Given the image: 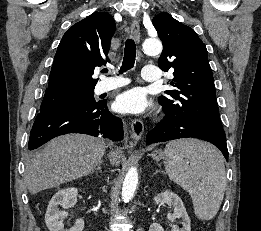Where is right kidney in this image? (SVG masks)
Wrapping results in <instances>:
<instances>
[{
	"mask_svg": "<svg viewBox=\"0 0 261 231\" xmlns=\"http://www.w3.org/2000/svg\"><path fill=\"white\" fill-rule=\"evenodd\" d=\"M78 189L71 187L59 190L50 200L45 214V222L49 231H83L84 221L77 219L75 224L64 229L63 220L68 212L59 210V206L67 209L77 202Z\"/></svg>",
	"mask_w": 261,
	"mask_h": 231,
	"instance_id": "right-kidney-1",
	"label": "right kidney"
}]
</instances>
